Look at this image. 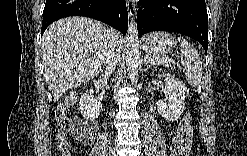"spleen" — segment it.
Listing matches in <instances>:
<instances>
[{"mask_svg":"<svg viewBox=\"0 0 247 156\" xmlns=\"http://www.w3.org/2000/svg\"><path fill=\"white\" fill-rule=\"evenodd\" d=\"M181 41V64L186 69L188 83L198 86L202 78V62L197 50L185 39L178 37Z\"/></svg>","mask_w":247,"mask_h":156,"instance_id":"1","label":"spleen"}]
</instances>
